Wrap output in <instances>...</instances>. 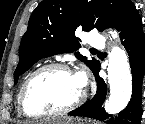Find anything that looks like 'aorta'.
<instances>
[{
  "label": "aorta",
  "instance_id": "762f6f07",
  "mask_svg": "<svg viewBox=\"0 0 145 124\" xmlns=\"http://www.w3.org/2000/svg\"><path fill=\"white\" fill-rule=\"evenodd\" d=\"M112 38H117L116 31H111ZM108 82L110 96L105 103L109 114L121 112L129 103L132 95V76L128 57L124 50L113 47L109 53Z\"/></svg>",
  "mask_w": 145,
  "mask_h": 124
}]
</instances>
